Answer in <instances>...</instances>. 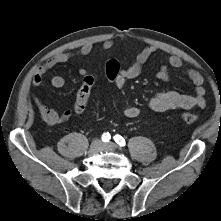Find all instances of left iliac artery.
<instances>
[{
  "label": "left iliac artery",
  "instance_id": "left-iliac-artery-1",
  "mask_svg": "<svg viewBox=\"0 0 221 221\" xmlns=\"http://www.w3.org/2000/svg\"><path fill=\"white\" fill-rule=\"evenodd\" d=\"M114 140H115V142L118 144V145H120V146H125V139L122 137V136H120V135H115L114 136Z\"/></svg>",
  "mask_w": 221,
  "mask_h": 221
}]
</instances>
